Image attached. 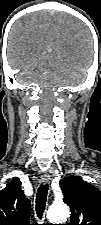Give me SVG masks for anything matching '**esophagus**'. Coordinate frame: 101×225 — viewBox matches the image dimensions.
<instances>
[{"instance_id":"esophagus-1","label":"esophagus","mask_w":101,"mask_h":225,"mask_svg":"<svg viewBox=\"0 0 101 225\" xmlns=\"http://www.w3.org/2000/svg\"><path fill=\"white\" fill-rule=\"evenodd\" d=\"M40 182L43 183V184H50L51 178H50L49 175H42L40 177Z\"/></svg>"}]
</instances>
